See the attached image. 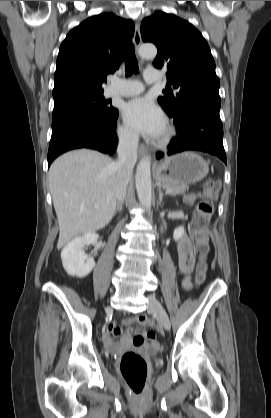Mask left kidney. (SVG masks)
<instances>
[{
	"mask_svg": "<svg viewBox=\"0 0 271 418\" xmlns=\"http://www.w3.org/2000/svg\"><path fill=\"white\" fill-rule=\"evenodd\" d=\"M183 234H184V227H177L175 230H174V239L175 240H178L179 238H181L182 236H183Z\"/></svg>",
	"mask_w": 271,
	"mask_h": 418,
	"instance_id": "5707ae66",
	"label": "left kidney"
}]
</instances>
